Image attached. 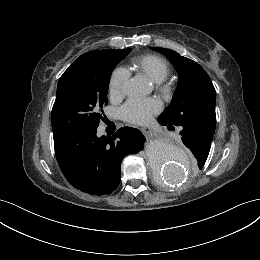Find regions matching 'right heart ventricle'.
<instances>
[{"label":"right heart ventricle","mask_w":260,"mask_h":260,"mask_svg":"<svg viewBox=\"0 0 260 260\" xmlns=\"http://www.w3.org/2000/svg\"><path fill=\"white\" fill-rule=\"evenodd\" d=\"M136 71L144 74L154 83L164 81L171 73L168 62L155 54H146L132 59Z\"/></svg>","instance_id":"e07e8e85"}]
</instances>
